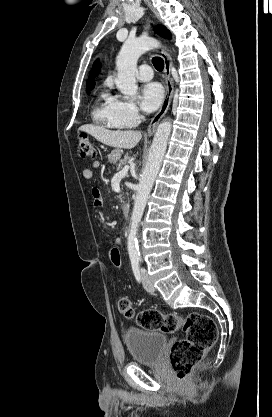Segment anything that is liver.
<instances>
[{
	"label": "liver",
	"mask_w": 272,
	"mask_h": 417,
	"mask_svg": "<svg viewBox=\"0 0 272 417\" xmlns=\"http://www.w3.org/2000/svg\"><path fill=\"white\" fill-rule=\"evenodd\" d=\"M79 130L90 134L105 145L116 148L132 149L142 138L140 131H111L91 124L82 125Z\"/></svg>",
	"instance_id": "liver-1"
}]
</instances>
